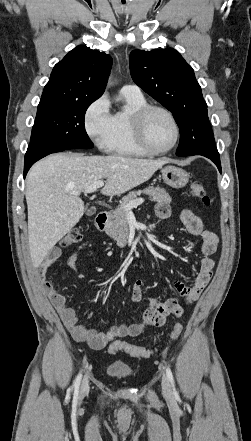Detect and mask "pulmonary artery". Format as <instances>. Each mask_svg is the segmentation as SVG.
Instances as JSON below:
<instances>
[{"label": "pulmonary artery", "mask_w": 251, "mask_h": 441, "mask_svg": "<svg viewBox=\"0 0 251 441\" xmlns=\"http://www.w3.org/2000/svg\"><path fill=\"white\" fill-rule=\"evenodd\" d=\"M121 92H129V93H136V94H140L141 90L140 88L135 85V84H125L123 85V87L121 88Z\"/></svg>", "instance_id": "e3ab8cb5"}]
</instances>
